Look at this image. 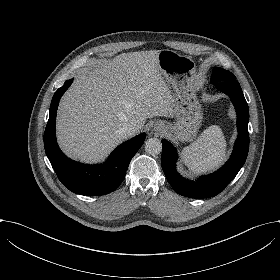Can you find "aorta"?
Wrapping results in <instances>:
<instances>
[{"instance_id":"1","label":"aorta","mask_w":280,"mask_h":280,"mask_svg":"<svg viewBox=\"0 0 280 280\" xmlns=\"http://www.w3.org/2000/svg\"><path fill=\"white\" fill-rule=\"evenodd\" d=\"M162 151V143L158 138H149L145 141V152L152 156L160 154Z\"/></svg>"}]
</instances>
